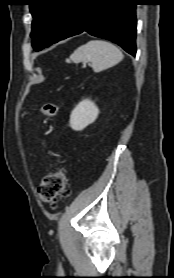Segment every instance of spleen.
<instances>
[{"instance_id":"1","label":"spleen","mask_w":174,"mask_h":278,"mask_svg":"<svg viewBox=\"0 0 174 278\" xmlns=\"http://www.w3.org/2000/svg\"><path fill=\"white\" fill-rule=\"evenodd\" d=\"M123 59L122 52L112 43L91 40L78 47L69 58V62L91 63L94 72H100L118 64Z\"/></svg>"}]
</instances>
